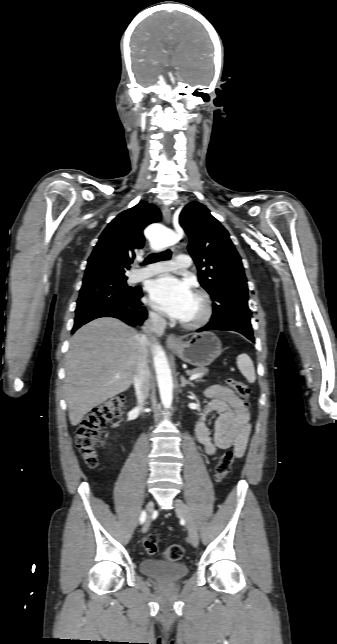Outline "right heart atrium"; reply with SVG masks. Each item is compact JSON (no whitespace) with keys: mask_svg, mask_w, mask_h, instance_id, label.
<instances>
[{"mask_svg":"<svg viewBox=\"0 0 337 644\" xmlns=\"http://www.w3.org/2000/svg\"><path fill=\"white\" fill-rule=\"evenodd\" d=\"M151 316H152V319H153L154 321H156V322L160 321V317H159V315H157L156 313H152V314H151Z\"/></svg>","mask_w":337,"mask_h":644,"instance_id":"obj_1","label":"right heart atrium"}]
</instances>
